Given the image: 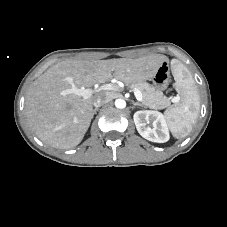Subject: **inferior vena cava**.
I'll use <instances>...</instances> for the list:
<instances>
[{"label": "inferior vena cava", "mask_w": 227, "mask_h": 227, "mask_svg": "<svg viewBox=\"0 0 227 227\" xmlns=\"http://www.w3.org/2000/svg\"><path fill=\"white\" fill-rule=\"evenodd\" d=\"M113 99V96L109 93H106L104 96H99L97 99L94 101L93 105L98 108L103 104H106L110 102Z\"/></svg>", "instance_id": "602c4592"}]
</instances>
